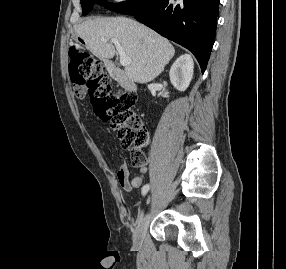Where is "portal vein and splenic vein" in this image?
<instances>
[{"label": "portal vein and splenic vein", "mask_w": 286, "mask_h": 269, "mask_svg": "<svg viewBox=\"0 0 286 269\" xmlns=\"http://www.w3.org/2000/svg\"><path fill=\"white\" fill-rule=\"evenodd\" d=\"M102 42L106 43L107 40L102 38L101 39ZM111 42L114 43L118 53H119V56H120V64L122 66H127L131 63V59L130 57H128L124 51V49L122 48L121 44L119 43V41L117 39H111Z\"/></svg>", "instance_id": "obj_1"}]
</instances>
